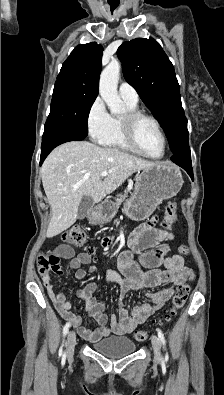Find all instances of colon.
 Here are the masks:
<instances>
[{
  "label": "colon",
  "mask_w": 224,
  "mask_h": 395,
  "mask_svg": "<svg viewBox=\"0 0 224 395\" xmlns=\"http://www.w3.org/2000/svg\"><path fill=\"white\" fill-rule=\"evenodd\" d=\"M166 223L165 226L170 227L178 217V207L175 203H169L165 207ZM62 240L70 245L76 247H83L87 243V235L81 227H72L67 229L62 234ZM59 257L50 251L42 252L38 256L37 266L41 274H61L62 270L59 265ZM189 281L181 282L174 293L171 301V306L168 311L161 318V322H168L174 318L184 304L186 303L191 291L190 281L194 278L192 270L188 272ZM148 338L147 330H137L134 333V339L138 342H143Z\"/></svg>",
  "instance_id": "obj_1"
}]
</instances>
